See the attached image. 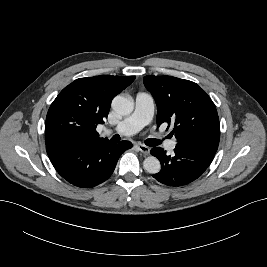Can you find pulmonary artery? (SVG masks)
<instances>
[{
	"label": "pulmonary artery",
	"mask_w": 267,
	"mask_h": 267,
	"mask_svg": "<svg viewBox=\"0 0 267 267\" xmlns=\"http://www.w3.org/2000/svg\"><path fill=\"white\" fill-rule=\"evenodd\" d=\"M153 110L154 99L152 95L146 92H139L135 97V109L133 113L119 122L115 127L106 129L105 133H116L123 136L133 135L151 121ZM175 147V139L165 142V148L168 151H173Z\"/></svg>",
	"instance_id": "1"
}]
</instances>
